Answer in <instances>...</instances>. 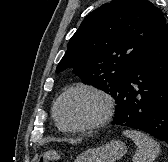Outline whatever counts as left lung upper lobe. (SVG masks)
Here are the masks:
<instances>
[{
  "label": "left lung upper lobe",
  "mask_w": 168,
  "mask_h": 162,
  "mask_svg": "<svg viewBox=\"0 0 168 162\" xmlns=\"http://www.w3.org/2000/svg\"><path fill=\"white\" fill-rule=\"evenodd\" d=\"M166 19L148 0H113L91 12L70 39L56 72L71 69L113 97Z\"/></svg>",
  "instance_id": "left-lung-upper-lobe-1"
}]
</instances>
